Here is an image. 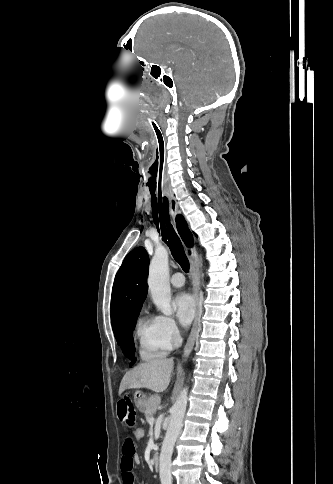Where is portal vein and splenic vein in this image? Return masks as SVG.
Wrapping results in <instances>:
<instances>
[{"mask_svg": "<svg viewBox=\"0 0 333 484\" xmlns=\"http://www.w3.org/2000/svg\"><path fill=\"white\" fill-rule=\"evenodd\" d=\"M155 422V419L152 417L148 420L149 425H153Z\"/></svg>", "mask_w": 333, "mask_h": 484, "instance_id": "obj_1", "label": "portal vein and splenic vein"}]
</instances>
